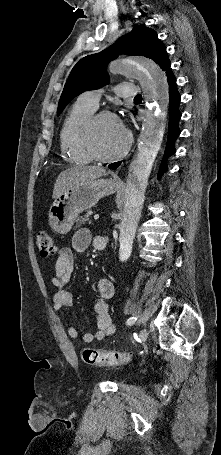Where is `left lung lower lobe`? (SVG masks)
Returning a JSON list of instances; mask_svg holds the SVG:
<instances>
[{"mask_svg":"<svg viewBox=\"0 0 221 455\" xmlns=\"http://www.w3.org/2000/svg\"><path fill=\"white\" fill-rule=\"evenodd\" d=\"M167 81L169 83V125H168V139L164 152V156L161 162L159 169L158 177H161L162 174L167 170V159L175 153L174 142L179 136L180 131L178 127V122L181 118V113L179 112L178 106L180 103V95L177 91L176 78L172 73V69L168 66L165 70ZM120 162L112 163L109 165L110 169H116L119 166Z\"/></svg>","mask_w":221,"mask_h":455,"instance_id":"1","label":"left lung lower lobe"}]
</instances>
